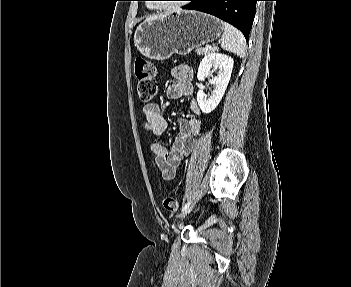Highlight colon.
I'll list each match as a JSON object with an SVG mask.
<instances>
[{"label":"colon","instance_id":"obj_1","mask_svg":"<svg viewBox=\"0 0 351 287\" xmlns=\"http://www.w3.org/2000/svg\"><path fill=\"white\" fill-rule=\"evenodd\" d=\"M135 75L137 77V91L141 102L149 103L157 93V82L155 79L156 69L154 65L143 57H137L134 62ZM166 211L175 213L179 208L175 197L168 196L163 200Z\"/></svg>","mask_w":351,"mask_h":287}]
</instances>
